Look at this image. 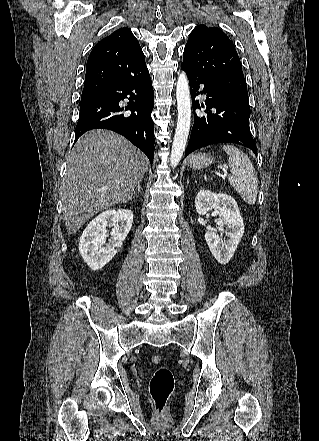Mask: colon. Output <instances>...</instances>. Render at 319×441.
Instances as JSON below:
<instances>
[{
    "instance_id": "5ec220e1",
    "label": "colon",
    "mask_w": 319,
    "mask_h": 441,
    "mask_svg": "<svg viewBox=\"0 0 319 441\" xmlns=\"http://www.w3.org/2000/svg\"><path fill=\"white\" fill-rule=\"evenodd\" d=\"M150 361L153 365L158 366L150 380V396L157 415L164 417L174 390L175 379L172 371L168 367L162 366L163 359L160 355L152 356Z\"/></svg>"
}]
</instances>
